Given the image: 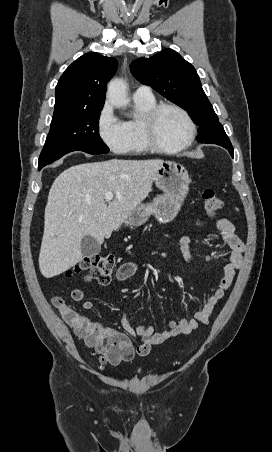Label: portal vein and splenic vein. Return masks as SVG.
<instances>
[{
    "label": "portal vein and splenic vein",
    "mask_w": 272,
    "mask_h": 452,
    "mask_svg": "<svg viewBox=\"0 0 272 452\" xmlns=\"http://www.w3.org/2000/svg\"><path fill=\"white\" fill-rule=\"evenodd\" d=\"M104 196H105V200H106V201H110V200L113 199V193H112V192H106V193L104 194Z\"/></svg>",
    "instance_id": "portal-vein-and-splenic-vein-1"
}]
</instances>
